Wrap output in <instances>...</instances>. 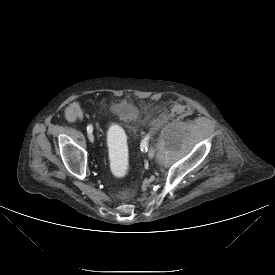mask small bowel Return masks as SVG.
<instances>
[{
    "instance_id": "1",
    "label": "small bowel",
    "mask_w": 275,
    "mask_h": 275,
    "mask_svg": "<svg viewBox=\"0 0 275 275\" xmlns=\"http://www.w3.org/2000/svg\"><path fill=\"white\" fill-rule=\"evenodd\" d=\"M84 101L79 96H72L68 99L67 105L59 110V117L67 123H75L82 118L84 114Z\"/></svg>"
}]
</instances>
